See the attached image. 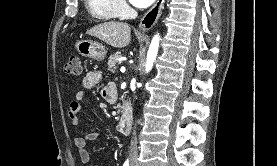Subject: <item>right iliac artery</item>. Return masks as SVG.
<instances>
[{
	"mask_svg": "<svg viewBox=\"0 0 277 166\" xmlns=\"http://www.w3.org/2000/svg\"><path fill=\"white\" fill-rule=\"evenodd\" d=\"M123 166H129V162H128V160L124 163V165Z\"/></svg>",
	"mask_w": 277,
	"mask_h": 166,
	"instance_id": "obj_1",
	"label": "right iliac artery"
}]
</instances>
